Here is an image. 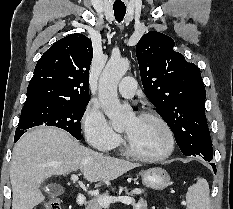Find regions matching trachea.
<instances>
[{"mask_svg": "<svg viewBox=\"0 0 233 209\" xmlns=\"http://www.w3.org/2000/svg\"><path fill=\"white\" fill-rule=\"evenodd\" d=\"M113 9H114L115 19L118 22H121L125 16L126 7L125 6H114Z\"/></svg>", "mask_w": 233, "mask_h": 209, "instance_id": "1", "label": "trachea"}]
</instances>
